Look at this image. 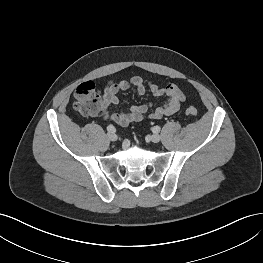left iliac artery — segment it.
Masks as SVG:
<instances>
[{
  "label": "left iliac artery",
  "mask_w": 263,
  "mask_h": 263,
  "mask_svg": "<svg viewBox=\"0 0 263 263\" xmlns=\"http://www.w3.org/2000/svg\"><path fill=\"white\" fill-rule=\"evenodd\" d=\"M160 127L159 126H154L153 128H152V130H153V132H155V133H158L159 131H160Z\"/></svg>",
  "instance_id": "44dca946"
}]
</instances>
